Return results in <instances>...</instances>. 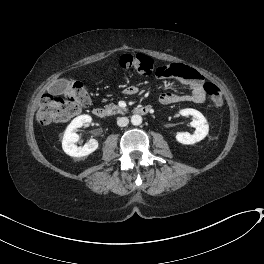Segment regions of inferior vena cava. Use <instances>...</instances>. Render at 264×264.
Returning a JSON list of instances; mask_svg holds the SVG:
<instances>
[{
    "label": "inferior vena cava",
    "mask_w": 264,
    "mask_h": 264,
    "mask_svg": "<svg viewBox=\"0 0 264 264\" xmlns=\"http://www.w3.org/2000/svg\"><path fill=\"white\" fill-rule=\"evenodd\" d=\"M129 123V119L127 117H119L117 118V125L120 127H125Z\"/></svg>",
    "instance_id": "602c4592"
}]
</instances>
